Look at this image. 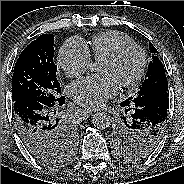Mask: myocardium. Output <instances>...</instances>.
I'll list each match as a JSON object with an SVG mask.
<instances>
[{"mask_svg":"<svg viewBox=\"0 0 184 184\" xmlns=\"http://www.w3.org/2000/svg\"><path fill=\"white\" fill-rule=\"evenodd\" d=\"M130 52H136L139 55L140 63H139V67H138L136 73L133 75V77L120 83V86L123 89L134 88L135 86L138 85V83L142 79V77L145 73L146 67H147V62H148V58H147V54H146L145 50L143 48H141L140 46L135 45V44L126 45V46L119 48L113 54L102 59V61H104V62L115 65V64L119 63L124 58V56Z\"/></svg>","mask_w":184,"mask_h":184,"instance_id":"obj_1","label":"myocardium"}]
</instances>
